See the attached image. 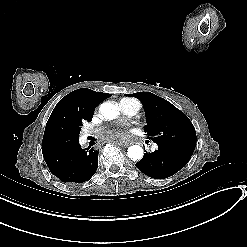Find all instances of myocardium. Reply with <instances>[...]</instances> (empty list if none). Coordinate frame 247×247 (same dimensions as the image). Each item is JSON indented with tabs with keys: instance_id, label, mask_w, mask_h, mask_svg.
Here are the masks:
<instances>
[{
	"instance_id": "obj_1",
	"label": "myocardium",
	"mask_w": 247,
	"mask_h": 247,
	"mask_svg": "<svg viewBox=\"0 0 247 247\" xmlns=\"http://www.w3.org/2000/svg\"><path fill=\"white\" fill-rule=\"evenodd\" d=\"M134 100V99H133ZM134 123H136V121L133 119V117L132 116H130V115H127Z\"/></svg>"
}]
</instances>
